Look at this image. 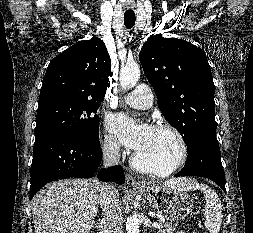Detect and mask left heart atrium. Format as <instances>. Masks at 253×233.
<instances>
[{
    "instance_id": "obj_1",
    "label": "left heart atrium",
    "mask_w": 253,
    "mask_h": 233,
    "mask_svg": "<svg viewBox=\"0 0 253 233\" xmlns=\"http://www.w3.org/2000/svg\"><path fill=\"white\" fill-rule=\"evenodd\" d=\"M108 126L131 149L138 151L149 138L152 127L148 124H136L125 114H116L109 118Z\"/></svg>"
}]
</instances>
